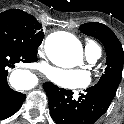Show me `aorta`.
Returning a JSON list of instances; mask_svg holds the SVG:
<instances>
[{
	"instance_id": "obj_1",
	"label": "aorta",
	"mask_w": 124,
	"mask_h": 124,
	"mask_svg": "<svg viewBox=\"0 0 124 124\" xmlns=\"http://www.w3.org/2000/svg\"><path fill=\"white\" fill-rule=\"evenodd\" d=\"M45 52L51 62L60 67H74L82 59L80 41L68 32H54L45 40Z\"/></svg>"
}]
</instances>
